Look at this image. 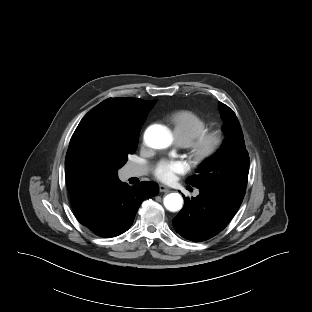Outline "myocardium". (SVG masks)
I'll list each match as a JSON object with an SVG mask.
<instances>
[{
  "mask_svg": "<svg viewBox=\"0 0 312 312\" xmlns=\"http://www.w3.org/2000/svg\"><path fill=\"white\" fill-rule=\"evenodd\" d=\"M226 142V133L221 128L207 130L188 144L193 158L206 161L217 156Z\"/></svg>",
  "mask_w": 312,
  "mask_h": 312,
  "instance_id": "myocardium-1",
  "label": "myocardium"
}]
</instances>
